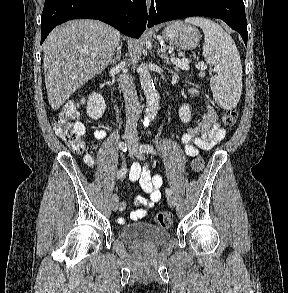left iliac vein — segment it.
I'll list each match as a JSON object with an SVG mask.
<instances>
[{
  "instance_id": "left-iliac-vein-1",
  "label": "left iliac vein",
  "mask_w": 288,
  "mask_h": 293,
  "mask_svg": "<svg viewBox=\"0 0 288 293\" xmlns=\"http://www.w3.org/2000/svg\"><path fill=\"white\" fill-rule=\"evenodd\" d=\"M133 153L135 154V156L137 158H139L140 160H143L145 158L144 154L142 151H140L138 143L134 144V149H133ZM167 202L171 207H174L176 205V201L175 198L171 195H168L167 197Z\"/></svg>"
}]
</instances>
